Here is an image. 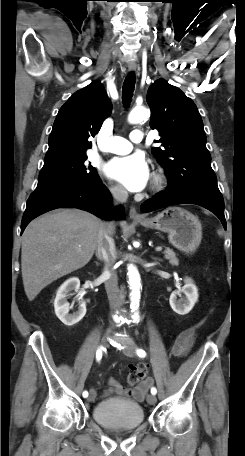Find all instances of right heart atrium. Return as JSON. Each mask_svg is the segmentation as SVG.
Returning a JSON list of instances; mask_svg holds the SVG:
<instances>
[{
  "label": "right heart atrium",
  "instance_id": "d8ad5b80",
  "mask_svg": "<svg viewBox=\"0 0 245 456\" xmlns=\"http://www.w3.org/2000/svg\"><path fill=\"white\" fill-rule=\"evenodd\" d=\"M109 190L112 196H114L115 198H122L125 194L124 190L120 186H111Z\"/></svg>",
  "mask_w": 245,
  "mask_h": 456
}]
</instances>
